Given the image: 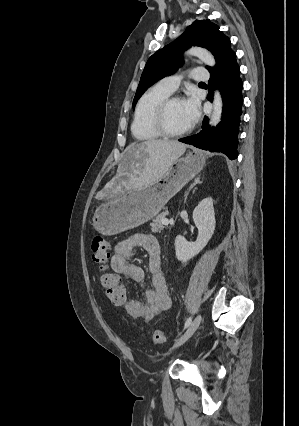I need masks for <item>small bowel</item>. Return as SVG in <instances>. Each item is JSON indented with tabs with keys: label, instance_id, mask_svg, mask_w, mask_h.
<instances>
[{
	"label": "small bowel",
	"instance_id": "small-bowel-1",
	"mask_svg": "<svg viewBox=\"0 0 299 426\" xmlns=\"http://www.w3.org/2000/svg\"><path fill=\"white\" fill-rule=\"evenodd\" d=\"M137 247L148 254V269L152 288L145 290V301L126 299L124 308L134 318L152 320L159 313L171 307L169 286L165 280L161 261V248L158 239L151 234H136L118 242L113 250L111 269L141 287L145 286L144 270L130 261Z\"/></svg>",
	"mask_w": 299,
	"mask_h": 426
}]
</instances>
